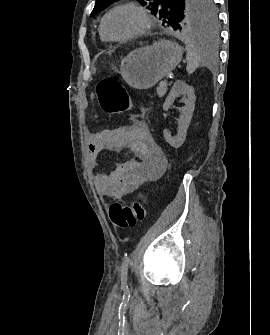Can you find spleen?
Instances as JSON below:
<instances>
[{
  "instance_id": "obj_1",
  "label": "spleen",
  "mask_w": 270,
  "mask_h": 335,
  "mask_svg": "<svg viewBox=\"0 0 270 335\" xmlns=\"http://www.w3.org/2000/svg\"><path fill=\"white\" fill-rule=\"evenodd\" d=\"M180 40L186 44L188 66L186 68L188 74H193L196 68L202 64V62H213V54H209V50L206 46L205 52L203 50L202 44H191L188 42L185 36H180Z\"/></svg>"
}]
</instances>
